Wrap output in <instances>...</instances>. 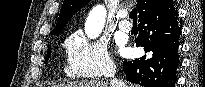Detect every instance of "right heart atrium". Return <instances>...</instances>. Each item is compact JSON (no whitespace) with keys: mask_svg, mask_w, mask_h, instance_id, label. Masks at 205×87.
Returning a JSON list of instances; mask_svg holds the SVG:
<instances>
[{"mask_svg":"<svg viewBox=\"0 0 205 87\" xmlns=\"http://www.w3.org/2000/svg\"><path fill=\"white\" fill-rule=\"evenodd\" d=\"M65 52V72L70 77H105L115 69L106 43L90 39L82 32H76L67 39Z\"/></svg>","mask_w":205,"mask_h":87,"instance_id":"d8ad5b80","label":"right heart atrium"}]
</instances>
